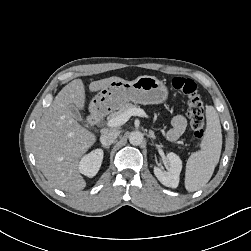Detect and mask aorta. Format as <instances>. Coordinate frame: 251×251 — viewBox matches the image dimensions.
Here are the masks:
<instances>
[{"label": "aorta", "instance_id": "aorta-1", "mask_svg": "<svg viewBox=\"0 0 251 251\" xmlns=\"http://www.w3.org/2000/svg\"><path fill=\"white\" fill-rule=\"evenodd\" d=\"M144 136L140 131H133L129 135V142L134 146H138L143 142Z\"/></svg>", "mask_w": 251, "mask_h": 251}]
</instances>
